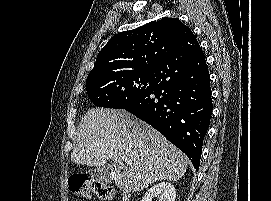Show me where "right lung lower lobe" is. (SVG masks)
Segmentation results:
<instances>
[{
	"label": "right lung lower lobe",
	"mask_w": 271,
	"mask_h": 201,
	"mask_svg": "<svg viewBox=\"0 0 271 201\" xmlns=\"http://www.w3.org/2000/svg\"><path fill=\"white\" fill-rule=\"evenodd\" d=\"M119 109L157 129L198 170L213 105L205 56L193 33L158 66L152 86Z\"/></svg>",
	"instance_id": "98d812e1"
}]
</instances>
